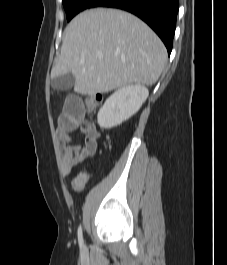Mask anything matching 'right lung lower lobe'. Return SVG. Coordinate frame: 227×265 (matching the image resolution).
Listing matches in <instances>:
<instances>
[{
    "mask_svg": "<svg viewBox=\"0 0 227 265\" xmlns=\"http://www.w3.org/2000/svg\"><path fill=\"white\" fill-rule=\"evenodd\" d=\"M100 6L123 9L141 18L161 38L170 55L179 0H94L88 8Z\"/></svg>",
    "mask_w": 227,
    "mask_h": 265,
    "instance_id": "98d812e1",
    "label": "right lung lower lobe"
}]
</instances>
